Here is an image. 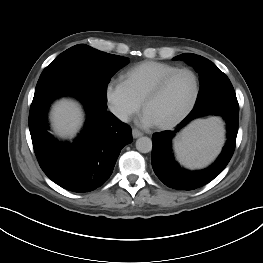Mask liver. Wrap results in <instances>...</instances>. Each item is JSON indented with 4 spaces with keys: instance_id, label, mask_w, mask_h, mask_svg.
Segmentation results:
<instances>
[{
    "instance_id": "1",
    "label": "liver",
    "mask_w": 263,
    "mask_h": 263,
    "mask_svg": "<svg viewBox=\"0 0 263 263\" xmlns=\"http://www.w3.org/2000/svg\"><path fill=\"white\" fill-rule=\"evenodd\" d=\"M53 130L60 137H73L83 123V112L78 103L60 100L51 111Z\"/></svg>"
}]
</instances>
